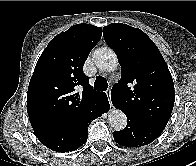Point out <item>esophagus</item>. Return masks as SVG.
<instances>
[{"mask_svg": "<svg viewBox=\"0 0 196 166\" xmlns=\"http://www.w3.org/2000/svg\"><path fill=\"white\" fill-rule=\"evenodd\" d=\"M106 94H107V96H108L110 106H111V107H113V105H112V101H111V90H110V89H108V90L106 91Z\"/></svg>", "mask_w": 196, "mask_h": 166, "instance_id": "34e87169", "label": "esophagus"}]
</instances>
